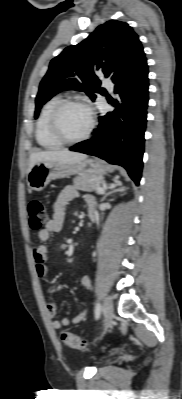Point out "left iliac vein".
<instances>
[{"mask_svg": "<svg viewBox=\"0 0 182 399\" xmlns=\"http://www.w3.org/2000/svg\"><path fill=\"white\" fill-rule=\"evenodd\" d=\"M103 312H104V330H106L108 328V326L110 325V322L113 319V315H114L113 314V303L109 296L105 298Z\"/></svg>", "mask_w": 182, "mask_h": 399, "instance_id": "4c4485c4", "label": "left iliac vein"}]
</instances>
